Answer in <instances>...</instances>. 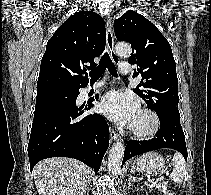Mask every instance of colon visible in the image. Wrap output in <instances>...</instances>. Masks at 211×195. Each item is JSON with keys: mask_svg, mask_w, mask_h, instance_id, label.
Masks as SVG:
<instances>
[{"mask_svg": "<svg viewBox=\"0 0 211 195\" xmlns=\"http://www.w3.org/2000/svg\"><path fill=\"white\" fill-rule=\"evenodd\" d=\"M165 195H173L170 191H168Z\"/></svg>", "mask_w": 211, "mask_h": 195, "instance_id": "5ec220e1", "label": "colon"}]
</instances>
